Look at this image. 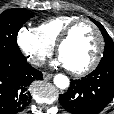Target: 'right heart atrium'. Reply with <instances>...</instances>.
<instances>
[{
  "mask_svg": "<svg viewBox=\"0 0 114 114\" xmlns=\"http://www.w3.org/2000/svg\"><path fill=\"white\" fill-rule=\"evenodd\" d=\"M17 44L27 60L36 66L53 52V46L44 41L35 28L22 27L17 34Z\"/></svg>",
  "mask_w": 114,
  "mask_h": 114,
  "instance_id": "d8ad5b80",
  "label": "right heart atrium"
}]
</instances>
